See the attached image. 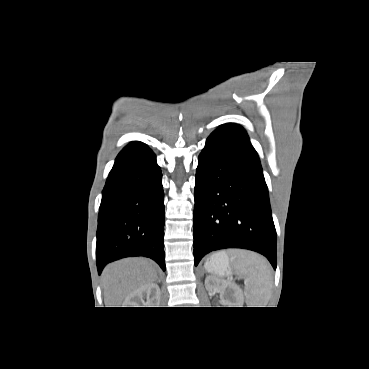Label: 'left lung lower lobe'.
I'll return each instance as SVG.
<instances>
[{
    "label": "left lung lower lobe",
    "instance_id": "obj_1",
    "mask_svg": "<svg viewBox=\"0 0 369 369\" xmlns=\"http://www.w3.org/2000/svg\"><path fill=\"white\" fill-rule=\"evenodd\" d=\"M194 207L195 265L207 253L244 248L276 269V231L257 152L246 131L224 124L198 157Z\"/></svg>",
    "mask_w": 369,
    "mask_h": 369
}]
</instances>
